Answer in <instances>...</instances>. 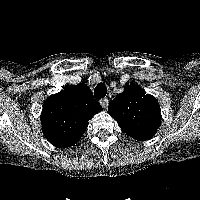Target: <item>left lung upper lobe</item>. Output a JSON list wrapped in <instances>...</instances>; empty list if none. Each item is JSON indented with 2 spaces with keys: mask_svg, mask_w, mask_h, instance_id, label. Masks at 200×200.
Listing matches in <instances>:
<instances>
[{
  "mask_svg": "<svg viewBox=\"0 0 200 200\" xmlns=\"http://www.w3.org/2000/svg\"><path fill=\"white\" fill-rule=\"evenodd\" d=\"M108 113L123 132L140 141L150 139L161 121L158 101L138 85H131L118 94L110 102Z\"/></svg>",
  "mask_w": 200,
  "mask_h": 200,
  "instance_id": "obj_1",
  "label": "left lung upper lobe"
}]
</instances>
